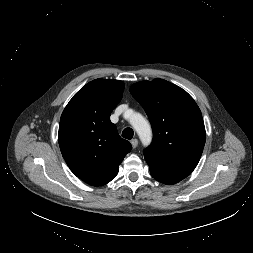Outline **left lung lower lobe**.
I'll return each instance as SVG.
<instances>
[{
	"label": "left lung lower lobe",
	"mask_w": 253,
	"mask_h": 253,
	"mask_svg": "<svg viewBox=\"0 0 253 253\" xmlns=\"http://www.w3.org/2000/svg\"><path fill=\"white\" fill-rule=\"evenodd\" d=\"M150 174L157 181L164 183V184H168V185L178 183L179 181L182 180V178H180V177L163 173V172H161L157 169H154V168H150Z\"/></svg>",
	"instance_id": "left-lung-lower-lobe-1"
}]
</instances>
